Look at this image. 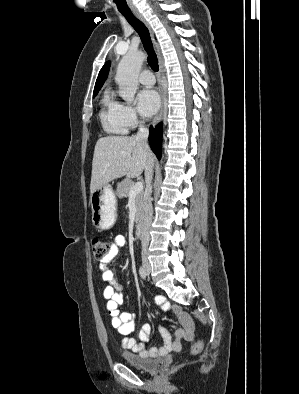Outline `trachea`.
Returning <instances> with one entry per match:
<instances>
[{"instance_id":"1","label":"trachea","mask_w":299,"mask_h":394,"mask_svg":"<svg viewBox=\"0 0 299 394\" xmlns=\"http://www.w3.org/2000/svg\"><path fill=\"white\" fill-rule=\"evenodd\" d=\"M120 13L126 18L128 23L136 30L139 34L144 49L148 54V64L154 71L159 70L157 56L153 50L152 41L150 38L148 28L131 12V11H121Z\"/></svg>"}]
</instances>
